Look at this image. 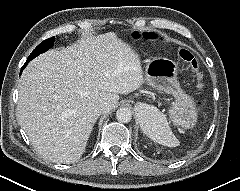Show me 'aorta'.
I'll return each mask as SVG.
<instances>
[{
  "label": "aorta",
  "mask_w": 240,
  "mask_h": 191,
  "mask_svg": "<svg viewBox=\"0 0 240 191\" xmlns=\"http://www.w3.org/2000/svg\"><path fill=\"white\" fill-rule=\"evenodd\" d=\"M144 108V107H143ZM116 119L121 123H128L132 119V112L127 107L119 108L116 112Z\"/></svg>",
  "instance_id": "1"
}]
</instances>
